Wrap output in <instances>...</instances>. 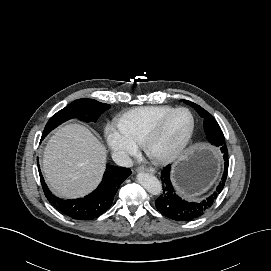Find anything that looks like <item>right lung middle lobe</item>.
Listing matches in <instances>:
<instances>
[{
	"label": "right lung middle lobe",
	"mask_w": 271,
	"mask_h": 271,
	"mask_svg": "<svg viewBox=\"0 0 271 271\" xmlns=\"http://www.w3.org/2000/svg\"><path fill=\"white\" fill-rule=\"evenodd\" d=\"M108 108V104L93 99L75 100L50 118L44 128L42 139L58 125L72 118H78L85 122H96L100 114Z\"/></svg>",
	"instance_id": "right-lung-middle-lobe-1"
}]
</instances>
